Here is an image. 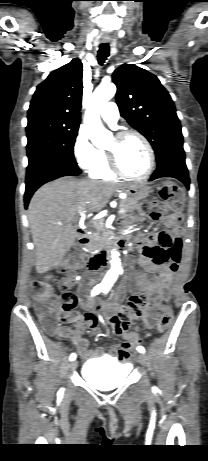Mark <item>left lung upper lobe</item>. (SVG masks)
<instances>
[{"label": "left lung upper lobe", "mask_w": 208, "mask_h": 461, "mask_svg": "<svg viewBox=\"0 0 208 461\" xmlns=\"http://www.w3.org/2000/svg\"><path fill=\"white\" fill-rule=\"evenodd\" d=\"M120 114L151 143L157 164L172 153L184 152L183 135L168 91L152 73L123 64L113 73Z\"/></svg>", "instance_id": "left-lung-upper-lobe-1"}]
</instances>
